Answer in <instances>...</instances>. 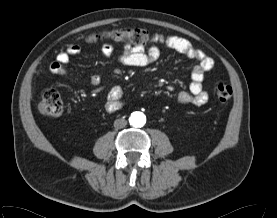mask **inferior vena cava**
I'll list each match as a JSON object with an SVG mask.
<instances>
[{
	"instance_id": "602c4592",
	"label": "inferior vena cava",
	"mask_w": 277,
	"mask_h": 218,
	"mask_svg": "<svg viewBox=\"0 0 277 218\" xmlns=\"http://www.w3.org/2000/svg\"><path fill=\"white\" fill-rule=\"evenodd\" d=\"M127 125V121L125 119H116L114 121V127L117 129H122Z\"/></svg>"
}]
</instances>
